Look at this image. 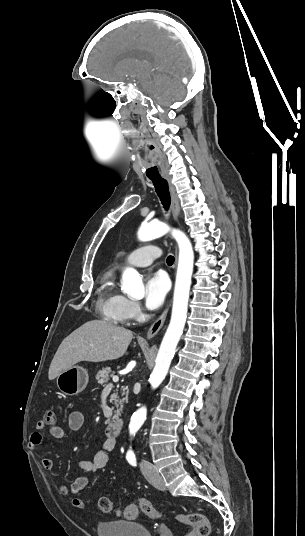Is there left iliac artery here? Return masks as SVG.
Returning <instances> with one entry per match:
<instances>
[{"mask_svg": "<svg viewBox=\"0 0 305 536\" xmlns=\"http://www.w3.org/2000/svg\"><path fill=\"white\" fill-rule=\"evenodd\" d=\"M127 460L131 465L136 466V458H135V456H128Z\"/></svg>", "mask_w": 305, "mask_h": 536, "instance_id": "obj_1", "label": "left iliac artery"}]
</instances>
